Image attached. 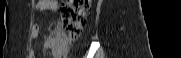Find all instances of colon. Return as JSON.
Masks as SVG:
<instances>
[{
    "instance_id": "5ec220e1",
    "label": "colon",
    "mask_w": 181,
    "mask_h": 58,
    "mask_svg": "<svg viewBox=\"0 0 181 58\" xmlns=\"http://www.w3.org/2000/svg\"><path fill=\"white\" fill-rule=\"evenodd\" d=\"M90 6V0H67L62 3L60 26L47 42V47L54 54L60 57H65L68 54L70 45L82 33Z\"/></svg>"
}]
</instances>
